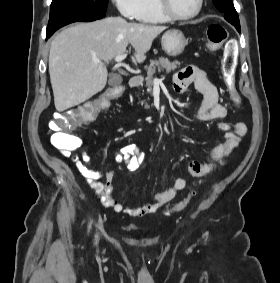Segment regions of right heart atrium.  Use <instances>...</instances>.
I'll use <instances>...</instances> for the list:
<instances>
[{
  "instance_id": "d8ad5b80",
  "label": "right heart atrium",
  "mask_w": 280,
  "mask_h": 283,
  "mask_svg": "<svg viewBox=\"0 0 280 283\" xmlns=\"http://www.w3.org/2000/svg\"><path fill=\"white\" fill-rule=\"evenodd\" d=\"M119 13L126 19H137L142 10V0H113Z\"/></svg>"
}]
</instances>
